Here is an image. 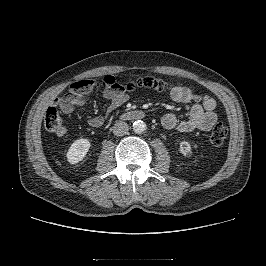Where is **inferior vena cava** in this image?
Returning a JSON list of instances; mask_svg holds the SVG:
<instances>
[{"mask_svg": "<svg viewBox=\"0 0 266 266\" xmlns=\"http://www.w3.org/2000/svg\"><path fill=\"white\" fill-rule=\"evenodd\" d=\"M128 130V124L123 121H117L113 127V133L116 136H123L127 134Z\"/></svg>", "mask_w": 266, "mask_h": 266, "instance_id": "obj_1", "label": "inferior vena cava"}]
</instances>
